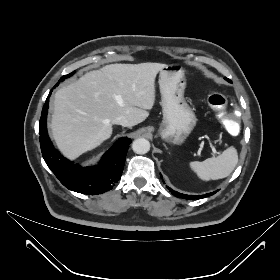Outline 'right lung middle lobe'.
I'll use <instances>...</instances> for the list:
<instances>
[{"mask_svg": "<svg viewBox=\"0 0 280 280\" xmlns=\"http://www.w3.org/2000/svg\"><path fill=\"white\" fill-rule=\"evenodd\" d=\"M74 72H75V71H73L72 73H70V74H68V75H64L63 77L60 78L59 82H60V81H63L65 78H68V77L72 76V75L74 74ZM59 82H58V83H59ZM58 83H57V84H58Z\"/></svg>", "mask_w": 280, "mask_h": 280, "instance_id": "obj_1", "label": "right lung middle lobe"}]
</instances>
